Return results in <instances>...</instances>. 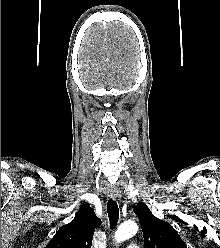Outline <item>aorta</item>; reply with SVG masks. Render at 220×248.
<instances>
[{
  "label": "aorta",
  "instance_id": "1",
  "mask_svg": "<svg viewBox=\"0 0 220 248\" xmlns=\"http://www.w3.org/2000/svg\"><path fill=\"white\" fill-rule=\"evenodd\" d=\"M138 232V225L134 221H125L117 229L115 233V240L123 242L133 237Z\"/></svg>",
  "mask_w": 220,
  "mask_h": 248
}]
</instances>
